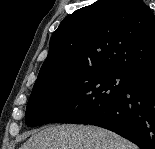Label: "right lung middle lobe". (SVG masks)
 <instances>
[{
    "label": "right lung middle lobe",
    "mask_w": 155,
    "mask_h": 149,
    "mask_svg": "<svg viewBox=\"0 0 155 149\" xmlns=\"http://www.w3.org/2000/svg\"><path fill=\"white\" fill-rule=\"evenodd\" d=\"M131 74L63 73L34 84L25 123L82 124L101 115L126 90Z\"/></svg>",
    "instance_id": "obj_1"
}]
</instances>
